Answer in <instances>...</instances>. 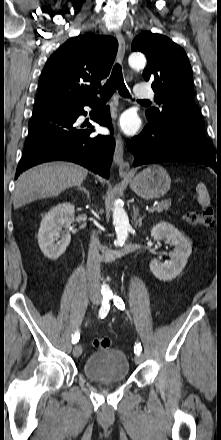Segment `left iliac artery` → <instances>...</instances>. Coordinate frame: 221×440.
Here are the masks:
<instances>
[{"mask_svg": "<svg viewBox=\"0 0 221 440\" xmlns=\"http://www.w3.org/2000/svg\"><path fill=\"white\" fill-rule=\"evenodd\" d=\"M109 298L113 299L114 305L118 309H120V310H124L125 309V304H124L123 300L119 296L111 294V295H109ZM141 351H142V347H141V345L139 343V344L136 345V347L134 349V352H135V354L139 355L141 353Z\"/></svg>", "mask_w": 221, "mask_h": 440, "instance_id": "1", "label": "left iliac artery"}]
</instances>
